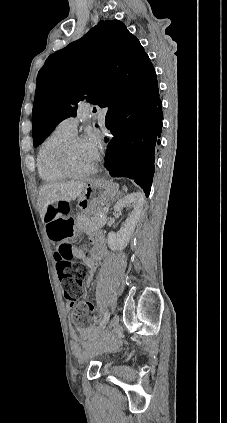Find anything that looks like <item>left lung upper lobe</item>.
Listing matches in <instances>:
<instances>
[{
    "instance_id": "5c2ea615",
    "label": "left lung upper lobe",
    "mask_w": 227,
    "mask_h": 423,
    "mask_svg": "<svg viewBox=\"0 0 227 423\" xmlns=\"http://www.w3.org/2000/svg\"><path fill=\"white\" fill-rule=\"evenodd\" d=\"M152 71L144 48L121 21H100L81 39L51 54L39 70L32 113L34 146L62 120L76 116L81 100L108 110L127 109Z\"/></svg>"
}]
</instances>
